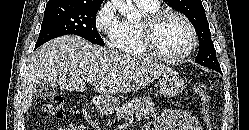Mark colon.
Masks as SVG:
<instances>
[{"label":"colon","instance_id":"1","mask_svg":"<svg viewBox=\"0 0 249 130\" xmlns=\"http://www.w3.org/2000/svg\"><path fill=\"white\" fill-rule=\"evenodd\" d=\"M193 91L199 100V110L205 130H214L207 88L203 84L197 83L193 86ZM42 107L48 116L55 119H62L65 113L63 95L55 94L44 98L42 100Z\"/></svg>","mask_w":249,"mask_h":130}]
</instances>
